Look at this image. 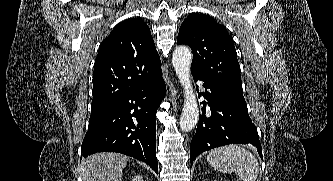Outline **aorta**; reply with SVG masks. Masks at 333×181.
Wrapping results in <instances>:
<instances>
[{"mask_svg": "<svg viewBox=\"0 0 333 181\" xmlns=\"http://www.w3.org/2000/svg\"><path fill=\"white\" fill-rule=\"evenodd\" d=\"M191 62L192 53L188 47L180 46L174 50L172 64L184 91V106L180 116V129L183 132L191 131L199 118V108L190 80Z\"/></svg>", "mask_w": 333, "mask_h": 181, "instance_id": "762f6f07", "label": "aorta"}]
</instances>
